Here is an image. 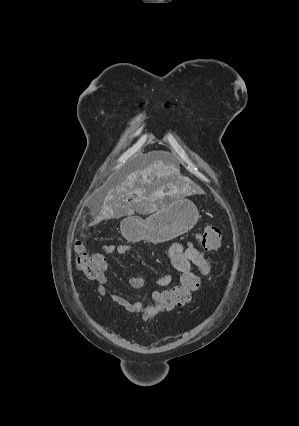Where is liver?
<instances>
[{
	"mask_svg": "<svg viewBox=\"0 0 299 426\" xmlns=\"http://www.w3.org/2000/svg\"><path fill=\"white\" fill-rule=\"evenodd\" d=\"M180 177V170L166 162L163 153H158L144 169L135 170L115 187L108 190L99 215L90 225L104 219L131 215L135 210L154 212L162 204L167 193L166 187L172 185L171 179ZM136 194L131 202L128 200Z\"/></svg>",
	"mask_w": 299,
	"mask_h": 426,
	"instance_id": "6515ba94",
	"label": "liver"
}]
</instances>
